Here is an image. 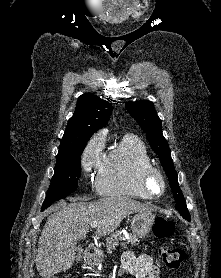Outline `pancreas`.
<instances>
[{"mask_svg":"<svg viewBox=\"0 0 221 278\" xmlns=\"http://www.w3.org/2000/svg\"><path fill=\"white\" fill-rule=\"evenodd\" d=\"M120 240H124L120 232H116L112 234L111 237H108L106 239L108 253H112V249H115V247L118 246ZM138 242L139 240L136 235H130L129 239L125 243H122L121 245L122 247L126 248L127 244L137 245Z\"/></svg>","mask_w":221,"mask_h":278,"instance_id":"cf45deb5","label":"pancreas"}]
</instances>
